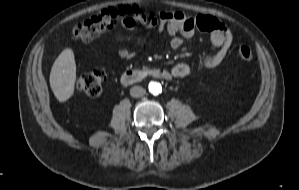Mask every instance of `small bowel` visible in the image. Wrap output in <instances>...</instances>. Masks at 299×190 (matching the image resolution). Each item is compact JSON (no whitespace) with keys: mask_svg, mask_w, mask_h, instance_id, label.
<instances>
[{"mask_svg":"<svg viewBox=\"0 0 299 190\" xmlns=\"http://www.w3.org/2000/svg\"><path fill=\"white\" fill-rule=\"evenodd\" d=\"M203 17L205 18L204 27L199 26L198 18L189 17L182 11L174 13L165 12L160 17L153 13H135L132 16L123 18L122 24L130 29L135 28L138 23L149 28H165L172 36L170 44L173 48H179L183 44V38L191 36L197 27L211 32L212 44L218 48V51L205 63L199 65L200 69H204L216 66L223 60L229 43L225 26L213 16L206 15ZM119 55L122 58H130L131 52L123 49L119 52ZM190 71L191 68L188 64L180 63L175 66L173 74L176 77L182 78L188 76Z\"/></svg>","mask_w":299,"mask_h":190,"instance_id":"small-bowel-1","label":"small bowel"}]
</instances>
